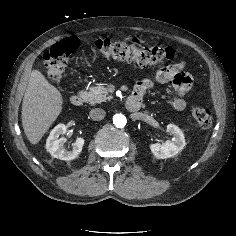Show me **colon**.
Here are the masks:
<instances>
[{"mask_svg": "<svg viewBox=\"0 0 236 236\" xmlns=\"http://www.w3.org/2000/svg\"><path fill=\"white\" fill-rule=\"evenodd\" d=\"M78 40L70 37L54 44L44 53L47 79L59 83L64 75L69 56L78 48ZM97 51L107 58L134 62L141 67L172 61L176 58L174 49L156 45H143L138 42L113 41L100 38L96 40ZM195 122L203 129L212 126V112L207 107H196L192 112Z\"/></svg>", "mask_w": 236, "mask_h": 236, "instance_id": "5ec220e1", "label": "colon"}]
</instances>
